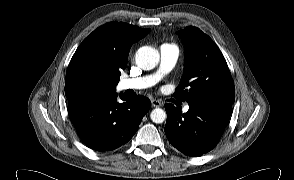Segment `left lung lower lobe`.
Segmentation results:
<instances>
[{
  "instance_id": "1",
  "label": "left lung lower lobe",
  "mask_w": 294,
  "mask_h": 180,
  "mask_svg": "<svg viewBox=\"0 0 294 180\" xmlns=\"http://www.w3.org/2000/svg\"><path fill=\"white\" fill-rule=\"evenodd\" d=\"M182 115L173 104H165L167 122L164 128L169 142L183 154L201 156L219 142L229 121L232 105L189 102Z\"/></svg>"
}]
</instances>
